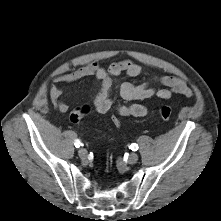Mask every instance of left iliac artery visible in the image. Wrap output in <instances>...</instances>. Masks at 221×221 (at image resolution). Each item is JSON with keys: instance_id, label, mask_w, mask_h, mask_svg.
Masks as SVG:
<instances>
[{"instance_id": "1", "label": "left iliac artery", "mask_w": 221, "mask_h": 221, "mask_svg": "<svg viewBox=\"0 0 221 221\" xmlns=\"http://www.w3.org/2000/svg\"><path fill=\"white\" fill-rule=\"evenodd\" d=\"M130 148L133 150V151H137L138 150V145L136 143H133L130 145Z\"/></svg>"}]
</instances>
